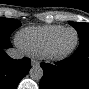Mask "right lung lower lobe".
Returning <instances> with one entry per match:
<instances>
[{
  "label": "right lung lower lobe",
  "instance_id": "obj_1",
  "mask_svg": "<svg viewBox=\"0 0 89 89\" xmlns=\"http://www.w3.org/2000/svg\"><path fill=\"white\" fill-rule=\"evenodd\" d=\"M10 47L12 45L9 39H0V89H16L31 68L29 58H10L5 52V49Z\"/></svg>",
  "mask_w": 89,
  "mask_h": 89
}]
</instances>
